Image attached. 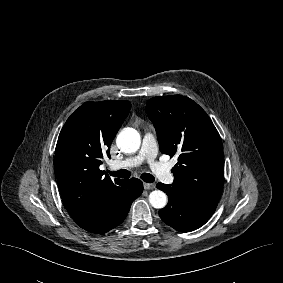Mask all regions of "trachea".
I'll list each match as a JSON object with an SVG mask.
<instances>
[{"instance_id": "trachea-1", "label": "trachea", "mask_w": 283, "mask_h": 283, "mask_svg": "<svg viewBox=\"0 0 283 283\" xmlns=\"http://www.w3.org/2000/svg\"><path fill=\"white\" fill-rule=\"evenodd\" d=\"M111 176L119 177V178H129L131 173L126 169H121L116 172L108 171ZM141 179L147 183H152L155 178L149 173H143L141 175Z\"/></svg>"}]
</instances>
